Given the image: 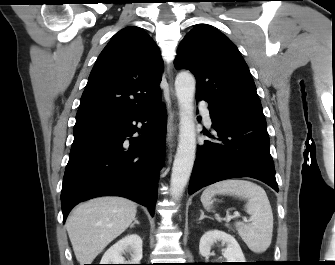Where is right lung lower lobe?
Returning a JSON list of instances; mask_svg holds the SVG:
<instances>
[{"label":"right lung lower lobe","instance_id":"98d812e1","mask_svg":"<svg viewBox=\"0 0 335 265\" xmlns=\"http://www.w3.org/2000/svg\"><path fill=\"white\" fill-rule=\"evenodd\" d=\"M166 127L161 99L149 109L74 132L61 191L63 222L79 202L105 195L129 198L153 216ZM135 132L141 136L127 138Z\"/></svg>","mask_w":335,"mask_h":265}]
</instances>
